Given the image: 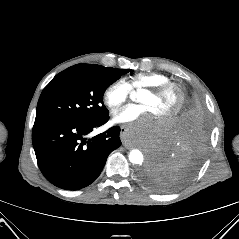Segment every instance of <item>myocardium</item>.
<instances>
[{
  "label": "myocardium",
  "instance_id": "obj_1",
  "mask_svg": "<svg viewBox=\"0 0 239 239\" xmlns=\"http://www.w3.org/2000/svg\"><path fill=\"white\" fill-rule=\"evenodd\" d=\"M143 91L151 93L152 95L157 97L169 92H173L176 95V104L170 111L166 112L163 115V117L167 119L176 116L182 110L185 103L186 97L184 91L178 85L172 82L164 83L158 86L147 87Z\"/></svg>",
  "mask_w": 239,
  "mask_h": 239
}]
</instances>
